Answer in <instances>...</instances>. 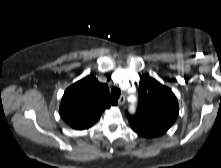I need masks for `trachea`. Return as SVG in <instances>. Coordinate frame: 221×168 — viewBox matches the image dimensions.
I'll list each match as a JSON object with an SVG mask.
<instances>
[{
  "mask_svg": "<svg viewBox=\"0 0 221 168\" xmlns=\"http://www.w3.org/2000/svg\"><path fill=\"white\" fill-rule=\"evenodd\" d=\"M120 89L118 87H113L111 89V95L114 97V98H119L120 97Z\"/></svg>",
  "mask_w": 221,
  "mask_h": 168,
  "instance_id": "3493384b",
  "label": "trachea"
}]
</instances>
